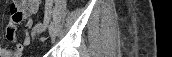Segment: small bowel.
I'll return each mask as SVG.
<instances>
[{
  "instance_id": "small-bowel-1",
  "label": "small bowel",
  "mask_w": 172,
  "mask_h": 57,
  "mask_svg": "<svg viewBox=\"0 0 172 57\" xmlns=\"http://www.w3.org/2000/svg\"><path fill=\"white\" fill-rule=\"evenodd\" d=\"M41 5L39 0H24L18 1L16 6L12 8L10 22L6 27V38L11 42L16 43L14 49H6L0 47V57H20L23 49L29 45L31 37L38 35L36 32L30 34V29L32 26L31 17L35 14ZM23 20H27L25 25L26 35L19 40L16 30L17 25Z\"/></svg>"
}]
</instances>
